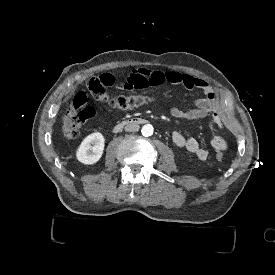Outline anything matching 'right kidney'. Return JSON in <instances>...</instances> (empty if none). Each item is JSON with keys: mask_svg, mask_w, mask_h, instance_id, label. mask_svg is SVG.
Listing matches in <instances>:
<instances>
[{"mask_svg": "<svg viewBox=\"0 0 275 275\" xmlns=\"http://www.w3.org/2000/svg\"><path fill=\"white\" fill-rule=\"evenodd\" d=\"M105 139L99 132L88 135L80 144L76 157L84 164H94L102 156Z\"/></svg>", "mask_w": 275, "mask_h": 275, "instance_id": "1", "label": "right kidney"}]
</instances>
